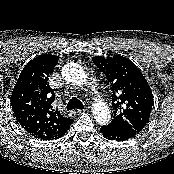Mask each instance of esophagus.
I'll return each mask as SVG.
<instances>
[{
    "mask_svg": "<svg viewBox=\"0 0 174 174\" xmlns=\"http://www.w3.org/2000/svg\"><path fill=\"white\" fill-rule=\"evenodd\" d=\"M90 109V106H86L84 109L79 110V112H86Z\"/></svg>",
    "mask_w": 174,
    "mask_h": 174,
    "instance_id": "1",
    "label": "esophagus"
}]
</instances>
